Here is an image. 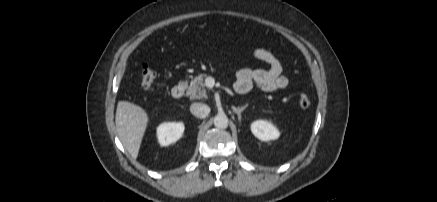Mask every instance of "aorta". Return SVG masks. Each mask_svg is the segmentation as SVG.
<instances>
[{
    "label": "aorta",
    "instance_id": "1",
    "mask_svg": "<svg viewBox=\"0 0 437 202\" xmlns=\"http://www.w3.org/2000/svg\"><path fill=\"white\" fill-rule=\"evenodd\" d=\"M228 118L225 114L220 113L214 117V125L216 128L225 129L228 127Z\"/></svg>",
    "mask_w": 437,
    "mask_h": 202
}]
</instances>
